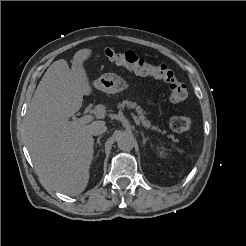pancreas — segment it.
Wrapping results in <instances>:
<instances>
[{"label": "pancreas", "instance_id": "cf45deb5", "mask_svg": "<svg viewBox=\"0 0 246 246\" xmlns=\"http://www.w3.org/2000/svg\"><path fill=\"white\" fill-rule=\"evenodd\" d=\"M125 106H128L130 108H134L136 110V112L139 114V119L142 122L143 126H145L146 128H151L153 130H157L158 132H161L163 134L165 133V131H161V130L157 129V127L151 126L150 121L145 119L143 109L139 105H137L135 102L125 100L122 103H119L117 105L118 108H123ZM170 137H173V136L170 135Z\"/></svg>", "mask_w": 246, "mask_h": 246}]
</instances>
